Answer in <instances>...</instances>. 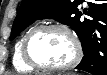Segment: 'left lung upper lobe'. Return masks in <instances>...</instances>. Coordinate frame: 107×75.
Returning <instances> with one entry per match:
<instances>
[{
    "label": "left lung upper lobe",
    "mask_w": 107,
    "mask_h": 75,
    "mask_svg": "<svg viewBox=\"0 0 107 75\" xmlns=\"http://www.w3.org/2000/svg\"><path fill=\"white\" fill-rule=\"evenodd\" d=\"M81 3V0H23L15 18L10 39L15 38L37 19L44 18H53L69 25L81 39L91 21L90 13L84 11V16L78 10ZM95 35L101 40L107 39V21L97 25Z\"/></svg>",
    "instance_id": "left-lung-upper-lobe-1"
}]
</instances>
